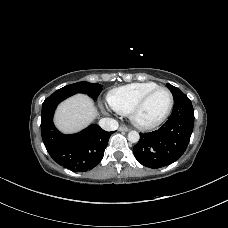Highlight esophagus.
<instances>
[{"label":"esophagus","instance_id":"obj_1","mask_svg":"<svg viewBox=\"0 0 228 228\" xmlns=\"http://www.w3.org/2000/svg\"><path fill=\"white\" fill-rule=\"evenodd\" d=\"M118 130H119V131L128 132V131H129V128L126 127V126H120V127L118 128Z\"/></svg>","mask_w":228,"mask_h":228}]
</instances>
